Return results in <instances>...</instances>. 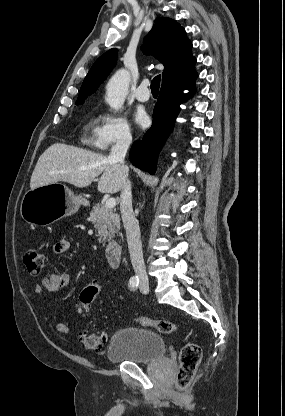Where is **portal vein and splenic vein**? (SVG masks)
Here are the masks:
<instances>
[{
	"instance_id": "18ae733b",
	"label": "portal vein and splenic vein",
	"mask_w": 285,
	"mask_h": 416,
	"mask_svg": "<svg viewBox=\"0 0 285 416\" xmlns=\"http://www.w3.org/2000/svg\"><path fill=\"white\" fill-rule=\"evenodd\" d=\"M116 206V200H114V198H108V200H106V208H115Z\"/></svg>"
}]
</instances>
